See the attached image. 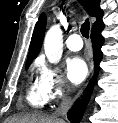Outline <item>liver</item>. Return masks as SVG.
I'll return each instance as SVG.
<instances>
[{
  "instance_id": "1",
  "label": "liver",
  "mask_w": 118,
  "mask_h": 123,
  "mask_svg": "<svg viewBox=\"0 0 118 123\" xmlns=\"http://www.w3.org/2000/svg\"><path fill=\"white\" fill-rule=\"evenodd\" d=\"M4 123H65L53 116H47L40 113L25 114L7 118Z\"/></svg>"
}]
</instances>
